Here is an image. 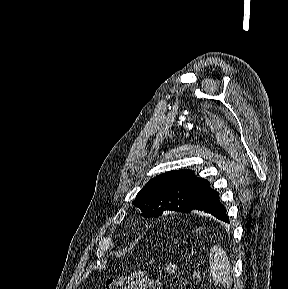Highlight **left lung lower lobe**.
<instances>
[{
  "mask_svg": "<svg viewBox=\"0 0 288 289\" xmlns=\"http://www.w3.org/2000/svg\"><path fill=\"white\" fill-rule=\"evenodd\" d=\"M192 210H199V211L210 213L213 216L217 217L219 220L229 223V219L226 214L225 207L221 204L218 193L213 189H210L196 203V205L192 208Z\"/></svg>",
  "mask_w": 288,
  "mask_h": 289,
  "instance_id": "0a47b994",
  "label": "left lung lower lobe"
}]
</instances>
